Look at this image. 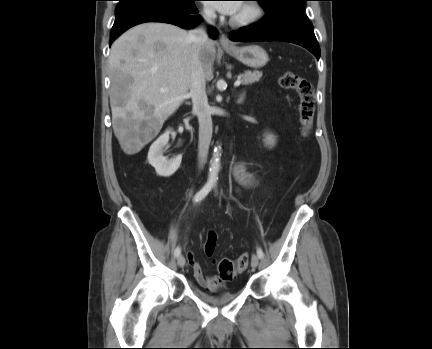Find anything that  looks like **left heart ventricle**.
Returning a JSON list of instances; mask_svg holds the SVG:
<instances>
[{"mask_svg":"<svg viewBox=\"0 0 432 349\" xmlns=\"http://www.w3.org/2000/svg\"><path fill=\"white\" fill-rule=\"evenodd\" d=\"M250 13V9L246 5H241L239 10L236 12L234 16L243 17Z\"/></svg>","mask_w":432,"mask_h":349,"instance_id":"obj_1","label":"left heart ventricle"}]
</instances>
